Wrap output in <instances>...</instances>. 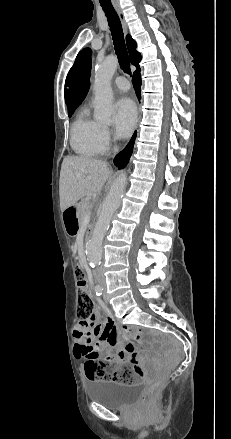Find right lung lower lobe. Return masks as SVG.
<instances>
[{
	"mask_svg": "<svg viewBox=\"0 0 231 439\" xmlns=\"http://www.w3.org/2000/svg\"><path fill=\"white\" fill-rule=\"evenodd\" d=\"M132 82H133L134 89L136 91L137 98H138V100H140L141 99V95H140V86H141L140 67H138L136 69V71L134 72ZM135 138H136V133H134L130 142L127 144V146L119 154H117V156L115 157L114 163L119 169L124 168L126 166V164L128 163V160L132 154Z\"/></svg>",
	"mask_w": 231,
	"mask_h": 439,
	"instance_id": "98d812e1",
	"label": "right lung lower lobe"
}]
</instances>
